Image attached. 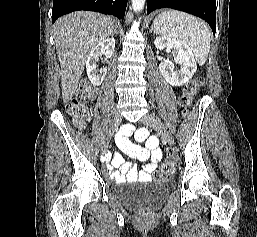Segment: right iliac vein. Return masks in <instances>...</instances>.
I'll return each mask as SVG.
<instances>
[{"mask_svg":"<svg viewBox=\"0 0 257 237\" xmlns=\"http://www.w3.org/2000/svg\"><path fill=\"white\" fill-rule=\"evenodd\" d=\"M122 121V116L118 111H115L112 115L109 130L103 140L102 148L106 150L108 148L109 142L113 134L117 131Z\"/></svg>","mask_w":257,"mask_h":237,"instance_id":"obj_1","label":"right iliac vein"}]
</instances>
